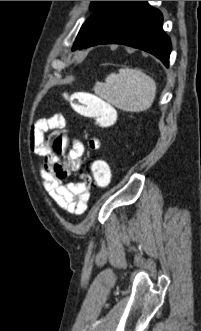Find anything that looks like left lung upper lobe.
Wrapping results in <instances>:
<instances>
[{
  "instance_id": "obj_1",
  "label": "left lung upper lobe",
  "mask_w": 201,
  "mask_h": 331,
  "mask_svg": "<svg viewBox=\"0 0 201 331\" xmlns=\"http://www.w3.org/2000/svg\"><path fill=\"white\" fill-rule=\"evenodd\" d=\"M119 1H92L90 10L93 15L82 25L76 41L73 45V50L77 48L98 26L101 20L114 8Z\"/></svg>"
}]
</instances>
